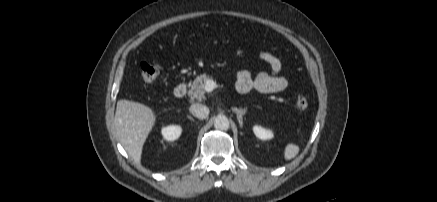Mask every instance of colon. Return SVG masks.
Listing matches in <instances>:
<instances>
[{
  "label": "colon",
  "mask_w": 437,
  "mask_h": 202,
  "mask_svg": "<svg viewBox=\"0 0 437 202\" xmlns=\"http://www.w3.org/2000/svg\"><path fill=\"white\" fill-rule=\"evenodd\" d=\"M159 71L158 68L149 63L141 64V78L145 85L152 84L158 77ZM309 105V102L306 97L300 95L295 100V107L298 110H305Z\"/></svg>",
  "instance_id": "obj_1"
}]
</instances>
